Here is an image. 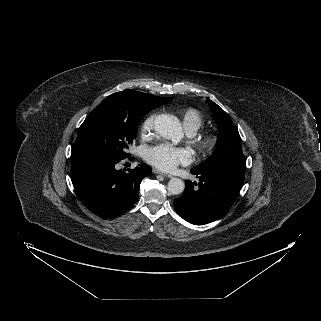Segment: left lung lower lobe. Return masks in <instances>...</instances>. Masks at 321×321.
<instances>
[{
	"mask_svg": "<svg viewBox=\"0 0 321 321\" xmlns=\"http://www.w3.org/2000/svg\"><path fill=\"white\" fill-rule=\"evenodd\" d=\"M245 170L246 161H228L193 169L191 172L200 182L186 181L184 193L174 200L176 212L195 225L207 224L222 217L239 195Z\"/></svg>",
	"mask_w": 321,
	"mask_h": 321,
	"instance_id": "obj_1",
	"label": "left lung lower lobe"
}]
</instances>
